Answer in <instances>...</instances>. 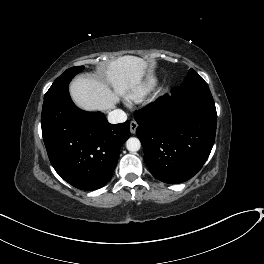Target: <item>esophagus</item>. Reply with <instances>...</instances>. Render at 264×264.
Returning <instances> with one entry per match:
<instances>
[{"label": "esophagus", "mask_w": 264, "mask_h": 264, "mask_svg": "<svg viewBox=\"0 0 264 264\" xmlns=\"http://www.w3.org/2000/svg\"><path fill=\"white\" fill-rule=\"evenodd\" d=\"M138 124L135 121L130 122V132L135 134Z\"/></svg>", "instance_id": "34e87169"}]
</instances>
